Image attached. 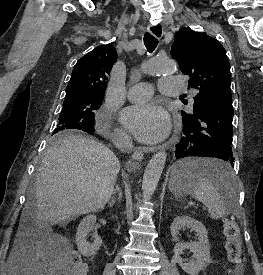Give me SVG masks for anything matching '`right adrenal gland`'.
I'll return each mask as SVG.
<instances>
[{"mask_svg":"<svg viewBox=\"0 0 263 275\" xmlns=\"http://www.w3.org/2000/svg\"><path fill=\"white\" fill-rule=\"evenodd\" d=\"M116 192H118V201H120L121 199H122V192H121V189L118 187V186H116V189H115V191L113 192V197H112V200H111V202H109V206L110 207H112L114 204H115V202H116V200H115V194H116Z\"/></svg>","mask_w":263,"mask_h":275,"instance_id":"right-adrenal-gland-1","label":"right adrenal gland"}]
</instances>
